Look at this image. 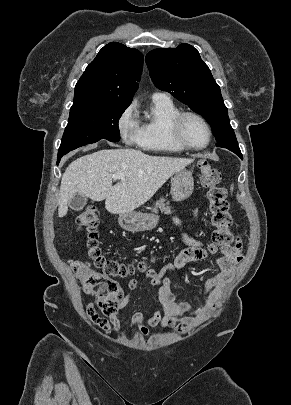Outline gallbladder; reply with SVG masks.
Listing matches in <instances>:
<instances>
[{
    "mask_svg": "<svg viewBox=\"0 0 291 405\" xmlns=\"http://www.w3.org/2000/svg\"><path fill=\"white\" fill-rule=\"evenodd\" d=\"M87 197L84 195L77 194L69 201V207L72 210H82L86 205Z\"/></svg>",
    "mask_w": 291,
    "mask_h": 405,
    "instance_id": "gallbladder-1",
    "label": "gallbladder"
}]
</instances>
